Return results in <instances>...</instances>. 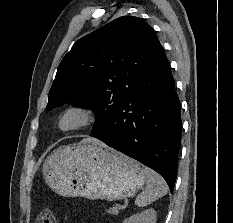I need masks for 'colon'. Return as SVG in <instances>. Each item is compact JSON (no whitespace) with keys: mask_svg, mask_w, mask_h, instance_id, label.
I'll use <instances>...</instances> for the list:
<instances>
[{"mask_svg":"<svg viewBox=\"0 0 233 223\" xmlns=\"http://www.w3.org/2000/svg\"><path fill=\"white\" fill-rule=\"evenodd\" d=\"M38 223H57V220L51 211L44 210L38 218Z\"/></svg>","mask_w":233,"mask_h":223,"instance_id":"5ec220e1","label":"colon"}]
</instances>
